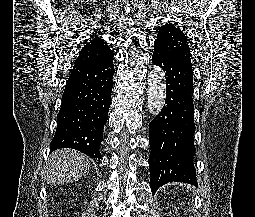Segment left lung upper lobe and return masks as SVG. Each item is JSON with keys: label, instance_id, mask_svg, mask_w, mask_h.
Masks as SVG:
<instances>
[{"label": "left lung upper lobe", "instance_id": "1", "mask_svg": "<svg viewBox=\"0 0 255 217\" xmlns=\"http://www.w3.org/2000/svg\"><path fill=\"white\" fill-rule=\"evenodd\" d=\"M155 47L161 48L177 59L185 60L191 64L190 47L187 38L184 32L172 24H165L160 27L155 40Z\"/></svg>", "mask_w": 255, "mask_h": 217}]
</instances>
